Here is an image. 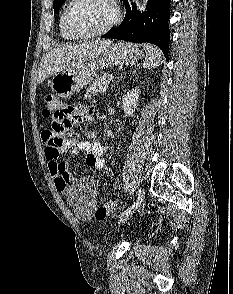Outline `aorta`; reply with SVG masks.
Instances as JSON below:
<instances>
[{
  "label": "aorta",
  "instance_id": "762f6f07",
  "mask_svg": "<svg viewBox=\"0 0 233 294\" xmlns=\"http://www.w3.org/2000/svg\"><path fill=\"white\" fill-rule=\"evenodd\" d=\"M140 8H141V10L143 9V4H142V6L140 5Z\"/></svg>",
  "mask_w": 233,
  "mask_h": 294
}]
</instances>
